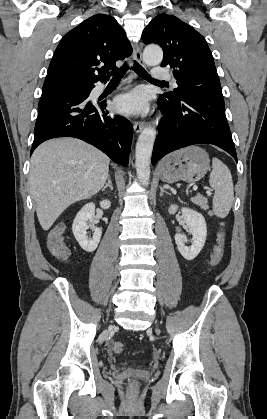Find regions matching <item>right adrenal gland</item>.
Segmentation results:
<instances>
[{"label":"right adrenal gland","mask_w":267,"mask_h":419,"mask_svg":"<svg viewBox=\"0 0 267 419\" xmlns=\"http://www.w3.org/2000/svg\"><path fill=\"white\" fill-rule=\"evenodd\" d=\"M107 187H109L111 190H113V185H112V182H111V176L110 175H108V177H107V183L102 188V191H104Z\"/></svg>","instance_id":"obj_1"}]
</instances>
